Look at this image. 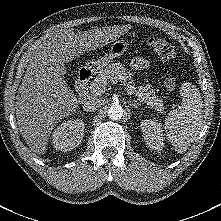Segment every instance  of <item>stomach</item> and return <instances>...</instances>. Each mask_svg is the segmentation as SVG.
Masks as SVG:
<instances>
[{
	"label": "stomach",
	"instance_id": "0dacf381",
	"mask_svg": "<svg viewBox=\"0 0 221 221\" xmlns=\"http://www.w3.org/2000/svg\"><path fill=\"white\" fill-rule=\"evenodd\" d=\"M127 49V42L124 40H117L111 45L108 54L98 60H91L87 62L85 68L92 73H100L107 67L110 62L122 56L127 51Z\"/></svg>",
	"mask_w": 221,
	"mask_h": 221
}]
</instances>
